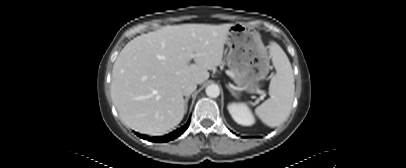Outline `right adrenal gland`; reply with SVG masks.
Listing matches in <instances>:
<instances>
[{"instance_id":"obj_1","label":"right adrenal gland","mask_w":406,"mask_h":168,"mask_svg":"<svg viewBox=\"0 0 406 168\" xmlns=\"http://www.w3.org/2000/svg\"><path fill=\"white\" fill-rule=\"evenodd\" d=\"M189 99H190V96H187V97L185 98V113H186L187 110H188V101H189Z\"/></svg>"}]
</instances>
